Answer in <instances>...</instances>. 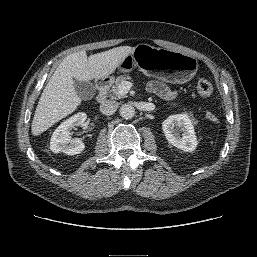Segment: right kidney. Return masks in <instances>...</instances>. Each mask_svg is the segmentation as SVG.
<instances>
[{"label":"right kidney","instance_id":"ca27d5eb","mask_svg":"<svg viewBox=\"0 0 257 257\" xmlns=\"http://www.w3.org/2000/svg\"><path fill=\"white\" fill-rule=\"evenodd\" d=\"M86 118L87 115L80 112L62 122L52 134L50 150L55 154L65 153L71 156L80 154L85 145L80 139H73L70 136V131L76 126H83Z\"/></svg>","mask_w":257,"mask_h":257}]
</instances>
